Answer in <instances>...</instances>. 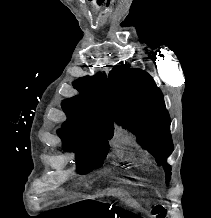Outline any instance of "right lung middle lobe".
<instances>
[{
	"label": "right lung middle lobe",
	"instance_id": "dd1d6c3e",
	"mask_svg": "<svg viewBox=\"0 0 211 218\" xmlns=\"http://www.w3.org/2000/svg\"><path fill=\"white\" fill-rule=\"evenodd\" d=\"M67 147L79 148L83 155L78 162V173L85 174L102 166L108 152V135L63 124L58 132Z\"/></svg>",
	"mask_w": 211,
	"mask_h": 218
}]
</instances>
